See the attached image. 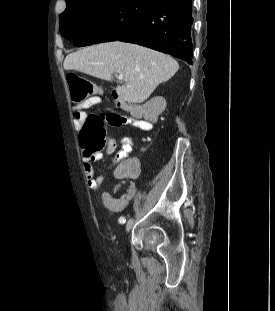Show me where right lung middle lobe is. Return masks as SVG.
<instances>
[{
	"label": "right lung middle lobe",
	"instance_id": "right-lung-middle-lobe-1",
	"mask_svg": "<svg viewBox=\"0 0 275 311\" xmlns=\"http://www.w3.org/2000/svg\"><path fill=\"white\" fill-rule=\"evenodd\" d=\"M162 0H82L67 4L60 31L77 47L114 41L133 21Z\"/></svg>",
	"mask_w": 275,
	"mask_h": 311
}]
</instances>
